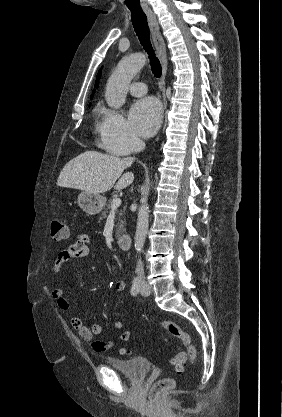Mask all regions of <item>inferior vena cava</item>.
Instances as JSON below:
<instances>
[{"label":"inferior vena cava","mask_w":282,"mask_h":417,"mask_svg":"<svg viewBox=\"0 0 282 417\" xmlns=\"http://www.w3.org/2000/svg\"><path fill=\"white\" fill-rule=\"evenodd\" d=\"M134 148L135 150H137V152H139V150H143V148H145V142H143V140H140V138H136ZM128 160H131L132 162V160H135V158H133V156H129ZM135 273L137 275L138 281H141V283H143L145 277H144V265L141 259H138L137 261Z\"/></svg>","instance_id":"602c4592"}]
</instances>
